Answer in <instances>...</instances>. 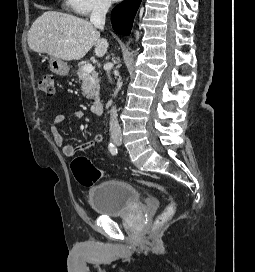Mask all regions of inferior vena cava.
Segmentation results:
<instances>
[{
  "mask_svg": "<svg viewBox=\"0 0 255 272\" xmlns=\"http://www.w3.org/2000/svg\"><path fill=\"white\" fill-rule=\"evenodd\" d=\"M111 6L110 0H99L93 8V11L90 16V22L97 28L103 30L105 25L106 14ZM112 68V65L107 66V74L109 76V71ZM110 132L112 135L121 134V127L117 120V111L115 107H112L110 110Z\"/></svg>",
  "mask_w": 255,
  "mask_h": 272,
  "instance_id": "602c4592",
  "label": "inferior vena cava"
}]
</instances>
